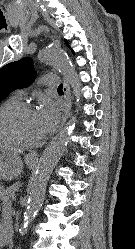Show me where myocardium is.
<instances>
[{
	"mask_svg": "<svg viewBox=\"0 0 135 249\" xmlns=\"http://www.w3.org/2000/svg\"><path fill=\"white\" fill-rule=\"evenodd\" d=\"M34 110L30 103L18 102L4 109L0 114V133L14 142L24 147H37L43 142V136L36 141H26L22 139L16 131L9 125V120L22 112Z\"/></svg>",
	"mask_w": 135,
	"mask_h": 249,
	"instance_id": "myocardium-1",
	"label": "myocardium"
}]
</instances>
